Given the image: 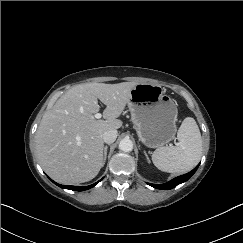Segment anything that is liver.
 <instances>
[{
	"label": "liver",
	"instance_id": "1",
	"mask_svg": "<svg viewBox=\"0 0 243 243\" xmlns=\"http://www.w3.org/2000/svg\"><path fill=\"white\" fill-rule=\"evenodd\" d=\"M135 82L86 83L65 92L42 117L35 134L43 170L61 184L92 180L103 167V133L117 130V119L130 100ZM98 99L106 105L105 120L96 119Z\"/></svg>",
	"mask_w": 243,
	"mask_h": 243
}]
</instances>
